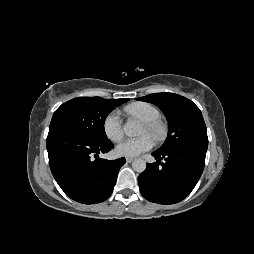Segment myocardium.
I'll return each mask as SVG.
<instances>
[{
	"mask_svg": "<svg viewBox=\"0 0 254 254\" xmlns=\"http://www.w3.org/2000/svg\"><path fill=\"white\" fill-rule=\"evenodd\" d=\"M144 125L150 134L156 141H161L166 136L167 128L161 120L145 121Z\"/></svg>",
	"mask_w": 254,
	"mask_h": 254,
	"instance_id": "myocardium-1",
	"label": "myocardium"
}]
</instances>
